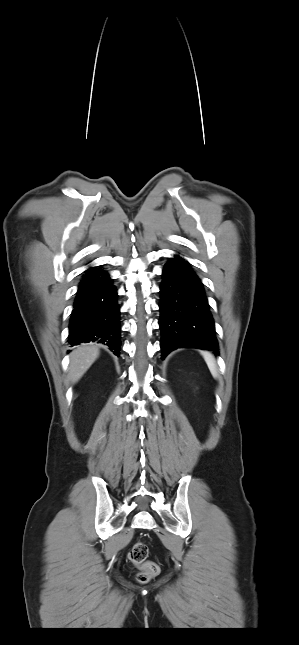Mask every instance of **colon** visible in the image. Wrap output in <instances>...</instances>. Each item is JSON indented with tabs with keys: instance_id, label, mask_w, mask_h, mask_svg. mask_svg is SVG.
Segmentation results:
<instances>
[{
	"instance_id": "1",
	"label": "colon",
	"mask_w": 299,
	"mask_h": 645,
	"mask_svg": "<svg viewBox=\"0 0 299 645\" xmlns=\"http://www.w3.org/2000/svg\"><path fill=\"white\" fill-rule=\"evenodd\" d=\"M128 557L130 561L139 569L137 580L140 583H146L159 573V566L152 561H148V547L142 541H137L131 547Z\"/></svg>"
}]
</instances>
